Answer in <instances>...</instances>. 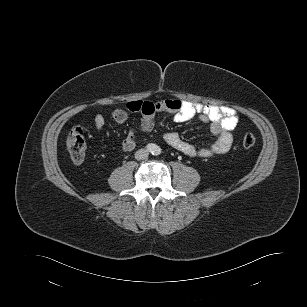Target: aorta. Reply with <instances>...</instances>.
Masks as SVG:
<instances>
[{
	"mask_svg": "<svg viewBox=\"0 0 307 307\" xmlns=\"http://www.w3.org/2000/svg\"><path fill=\"white\" fill-rule=\"evenodd\" d=\"M160 151H161V149L157 145H154V147L151 149L152 154H155V155L160 154Z\"/></svg>",
	"mask_w": 307,
	"mask_h": 307,
	"instance_id": "obj_1",
	"label": "aorta"
}]
</instances>
